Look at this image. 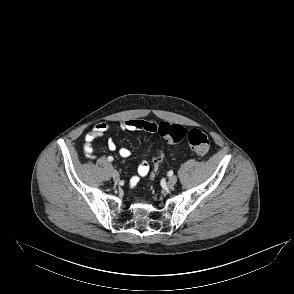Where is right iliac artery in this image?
Listing matches in <instances>:
<instances>
[{
    "label": "right iliac artery",
    "instance_id": "1",
    "mask_svg": "<svg viewBox=\"0 0 294 294\" xmlns=\"http://www.w3.org/2000/svg\"><path fill=\"white\" fill-rule=\"evenodd\" d=\"M108 160H109V161H113V157H112V156H109V157H108Z\"/></svg>",
    "mask_w": 294,
    "mask_h": 294
}]
</instances>
